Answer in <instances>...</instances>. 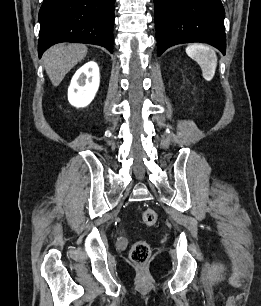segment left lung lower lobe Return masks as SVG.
Segmentation results:
<instances>
[{"mask_svg":"<svg viewBox=\"0 0 261 306\" xmlns=\"http://www.w3.org/2000/svg\"><path fill=\"white\" fill-rule=\"evenodd\" d=\"M158 56L181 43L205 42L226 52L221 0H154Z\"/></svg>","mask_w":261,"mask_h":306,"instance_id":"1","label":"left lung lower lobe"}]
</instances>
